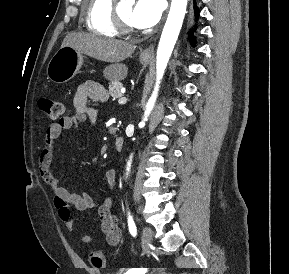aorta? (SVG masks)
I'll return each mask as SVG.
<instances>
[{"mask_svg":"<svg viewBox=\"0 0 289 274\" xmlns=\"http://www.w3.org/2000/svg\"><path fill=\"white\" fill-rule=\"evenodd\" d=\"M188 0H172L170 11L165 23L156 56V84L152 95L147 102L144 121L147 120L148 115L152 111L154 104L156 102L160 81L163 78L165 69L167 67L169 58L172 54L174 45L177 41L179 32L182 27L184 16L186 13ZM130 167V162H128V169Z\"/></svg>","mask_w":289,"mask_h":274,"instance_id":"aorta-1","label":"aorta"}]
</instances>
